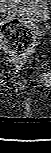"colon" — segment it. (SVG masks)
<instances>
[{"label":"colon","mask_w":51,"mask_h":153,"mask_svg":"<svg viewBox=\"0 0 51 153\" xmlns=\"http://www.w3.org/2000/svg\"><path fill=\"white\" fill-rule=\"evenodd\" d=\"M2 41L12 56L22 57L35 45V35L23 22L11 20L3 26Z\"/></svg>","instance_id":"obj_1"}]
</instances>
